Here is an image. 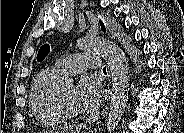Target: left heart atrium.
Instances as JSON below:
<instances>
[{
    "label": "left heart atrium",
    "instance_id": "left-heart-atrium-1",
    "mask_svg": "<svg viewBox=\"0 0 184 133\" xmlns=\"http://www.w3.org/2000/svg\"><path fill=\"white\" fill-rule=\"evenodd\" d=\"M74 101L81 112L92 113L96 111L102 101L99 87L90 79H82L74 90Z\"/></svg>",
    "mask_w": 184,
    "mask_h": 133
}]
</instances>
